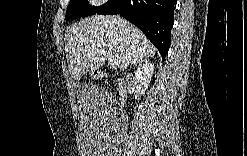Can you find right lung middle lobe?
I'll use <instances>...</instances> for the list:
<instances>
[{
	"instance_id": "right-lung-middle-lobe-1",
	"label": "right lung middle lobe",
	"mask_w": 247,
	"mask_h": 156,
	"mask_svg": "<svg viewBox=\"0 0 247 156\" xmlns=\"http://www.w3.org/2000/svg\"><path fill=\"white\" fill-rule=\"evenodd\" d=\"M101 8L102 6L89 5L87 0H70L65 19L70 20L77 17L93 15Z\"/></svg>"
}]
</instances>
